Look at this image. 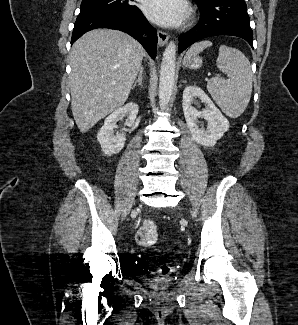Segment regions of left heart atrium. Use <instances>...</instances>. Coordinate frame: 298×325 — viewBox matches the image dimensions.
Wrapping results in <instances>:
<instances>
[{"label":"left heart atrium","mask_w":298,"mask_h":325,"mask_svg":"<svg viewBox=\"0 0 298 325\" xmlns=\"http://www.w3.org/2000/svg\"><path fill=\"white\" fill-rule=\"evenodd\" d=\"M145 15L163 27L178 25L186 15V6L181 0H145Z\"/></svg>","instance_id":"39dd6f15"}]
</instances>
